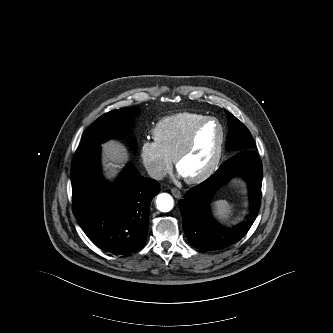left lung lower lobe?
Returning a JSON list of instances; mask_svg holds the SVG:
<instances>
[{
    "label": "left lung lower lobe",
    "mask_w": 333,
    "mask_h": 333,
    "mask_svg": "<svg viewBox=\"0 0 333 333\" xmlns=\"http://www.w3.org/2000/svg\"><path fill=\"white\" fill-rule=\"evenodd\" d=\"M243 176L249 187L250 208L246 220L226 229L211 217L209 203L214 192L233 176ZM262 163L256 152L243 150L224 162L207 180L191 188L179 201L183 229L196 248L214 250L238 242L254 223L261 202Z\"/></svg>",
    "instance_id": "1"
}]
</instances>
